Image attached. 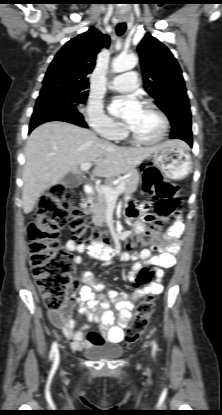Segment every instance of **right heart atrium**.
<instances>
[{
    "instance_id": "obj_1",
    "label": "right heart atrium",
    "mask_w": 222,
    "mask_h": 415,
    "mask_svg": "<svg viewBox=\"0 0 222 415\" xmlns=\"http://www.w3.org/2000/svg\"><path fill=\"white\" fill-rule=\"evenodd\" d=\"M85 119L96 134L108 140H115L121 135L120 126L107 116L97 104L90 103L87 106Z\"/></svg>"
}]
</instances>
